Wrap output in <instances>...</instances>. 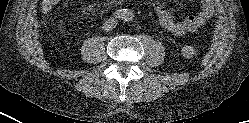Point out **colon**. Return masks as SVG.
Masks as SVG:
<instances>
[{
  "label": "colon",
  "mask_w": 249,
  "mask_h": 123,
  "mask_svg": "<svg viewBox=\"0 0 249 123\" xmlns=\"http://www.w3.org/2000/svg\"><path fill=\"white\" fill-rule=\"evenodd\" d=\"M181 54L185 58H192L196 54V48L192 43H185L181 48Z\"/></svg>",
  "instance_id": "5ec220e1"
}]
</instances>
